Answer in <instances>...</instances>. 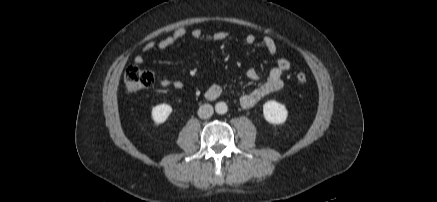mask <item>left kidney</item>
Instances as JSON below:
<instances>
[{"label": "left kidney", "mask_w": 437, "mask_h": 202, "mask_svg": "<svg viewBox=\"0 0 437 202\" xmlns=\"http://www.w3.org/2000/svg\"><path fill=\"white\" fill-rule=\"evenodd\" d=\"M263 114L265 120L269 123L282 124L287 119L288 111L283 104L270 100L264 103Z\"/></svg>", "instance_id": "left-kidney-1"}]
</instances>
